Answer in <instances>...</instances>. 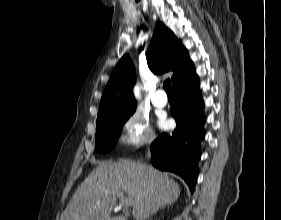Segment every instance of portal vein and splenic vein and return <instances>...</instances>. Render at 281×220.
<instances>
[{
    "label": "portal vein and splenic vein",
    "mask_w": 281,
    "mask_h": 220,
    "mask_svg": "<svg viewBox=\"0 0 281 220\" xmlns=\"http://www.w3.org/2000/svg\"><path fill=\"white\" fill-rule=\"evenodd\" d=\"M119 198H121L122 204L125 207H129L132 204V201L129 199H124L123 198V193L122 192H114Z\"/></svg>",
    "instance_id": "1"
}]
</instances>
